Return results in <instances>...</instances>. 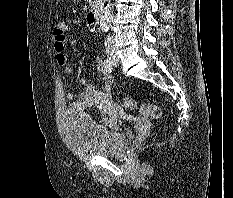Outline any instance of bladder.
I'll list each match as a JSON object with an SVG mask.
<instances>
[{"mask_svg": "<svg viewBox=\"0 0 233 198\" xmlns=\"http://www.w3.org/2000/svg\"><path fill=\"white\" fill-rule=\"evenodd\" d=\"M65 128L71 147L87 155L117 157L132 140V134L119 129L116 121L99 123L82 112H67Z\"/></svg>", "mask_w": 233, "mask_h": 198, "instance_id": "obj_1", "label": "bladder"}]
</instances>
